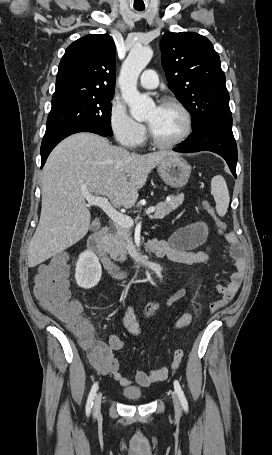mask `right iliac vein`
<instances>
[{
	"label": "right iliac vein",
	"instance_id": "63e3f726",
	"mask_svg": "<svg viewBox=\"0 0 272 455\" xmlns=\"http://www.w3.org/2000/svg\"><path fill=\"white\" fill-rule=\"evenodd\" d=\"M101 399H102V394L101 393H98L95 397V401H94V408H93V412L95 415H97L99 412H100V408H101Z\"/></svg>",
	"mask_w": 272,
	"mask_h": 455
}]
</instances>
